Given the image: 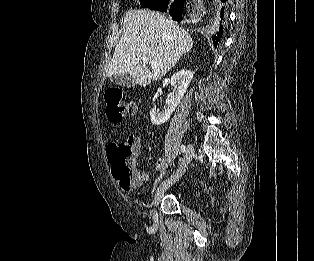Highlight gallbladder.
<instances>
[{
  "instance_id": "obj_1",
  "label": "gallbladder",
  "mask_w": 314,
  "mask_h": 261,
  "mask_svg": "<svg viewBox=\"0 0 314 261\" xmlns=\"http://www.w3.org/2000/svg\"><path fill=\"white\" fill-rule=\"evenodd\" d=\"M111 82L122 87H134L136 81L129 74H116L110 78Z\"/></svg>"
}]
</instances>
